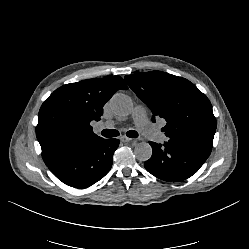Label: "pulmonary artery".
<instances>
[{
    "instance_id": "e3ab8cb5",
    "label": "pulmonary artery",
    "mask_w": 249,
    "mask_h": 249,
    "mask_svg": "<svg viewBox=\"0 0 249 249\" xmlns=\"http://www.w3.org/2000/svg\"><path fill=\"white\" fill-rule=\"evenodd\" d=\"M131 118L136 125V127L140 130H142L145 126L149 125L152 129L154 128V125H152L147 117V113L145 108L142 105H136ZM117 125L116 121H106L101 122L97 125L96 130L101 131L103 129H112Z\"/></svg>"
}]
</instances>
